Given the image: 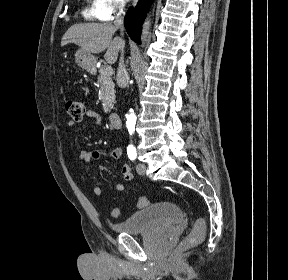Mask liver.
<instances>
[{
    "label": "liver",
    "mask_w": 288,
    "mask_h": 280,
    "mask_svg": "<svg viewBox=\"0 0 288 280\" xmlns=\"http://www.w3.org/2000/svg\"><path fill=\"white\" fill-rule=\"evenodd\" d=\"M117 27L111 23H80L72 25L64 34L61 46L75 43L88 53H101L106 51L105 59L114 64L119 51L124 47V41L113 35Z\"/></svg>",
    "instance_id": "1"
}]
</instances>
